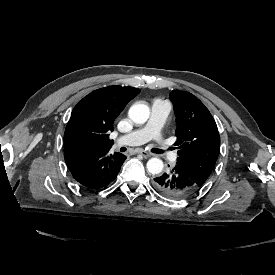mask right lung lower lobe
Here are the masks:
<instances>
[{
	"label": "right lung lower lobe",
	"mask_w": 275,
	"mask_h": 275,
	"mask_svg": "<svg viewBox=\"0 0 275 275\" xmlns=\"http://www.w3.org/2000/svg\"><path fill=\"white\" fill-rule=\"evenodd\" d=\"M109 149H83L65 153L66 164L74 179L84 187L100 189L117 176L126 156L109 154Z\"/></svg>",
	"instance_id": "98d812e1"
}]
</instances>
